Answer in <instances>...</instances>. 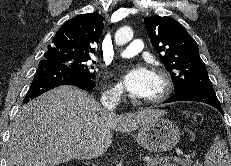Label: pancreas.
Returning <instances> with one entry per match:
<instances>
[{
	"label": "pancreas",
	"mask_w": 231,
	"mask_h": 166,
	"mask_svg": "<svg viewBox=\"0 0 231 166\" xmlns=\"http://www.w3.org/2000/svg\"><path fill=\"white\" fill-rule=\"evenodd\" d=\"M178 163H182V162L177 161L175 158L172 159L171 157H161V158H156V161L147 163V166H178ZM182 166H196V165L192 164L188 160H184Z\"/></svg>",
	"instance_id": "cf45deb5"
}]
</instances>
